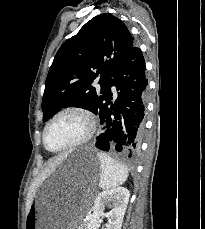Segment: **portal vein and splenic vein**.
Returning a JSON list of instances; mask_svg holds the SVG:
<instances>
[{
  "label": "portal vein and splenic vein",
  "instance_id": "18ae733b",
  "mask_svg": "<svg viewBox=\"0 0 205 229\" xmlns=\"http://www.w3.org/2000/svg\"><path fill=\"white\" fill-rule=\"evenodd\" d=\"M86 218H87V219H89V218H90V216H87Z\"/></svg>",
  "mask_w": 205,
  "mask_h": 229
}]
</instances>
